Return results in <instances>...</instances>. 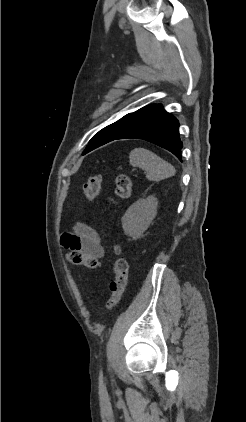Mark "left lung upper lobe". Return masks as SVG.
<instances>
[{"instance_id":"5c2ea615","label":"left lung upper lobe","mask_w":246,"mask_h":422,"mask_svg":"<svg viewBox=\"0 0 246 422\" xmlns=\"http://www.w3.org/2000/svg\"><path fill=\"white\" fill-rule=\"evenodd\" d=\"M155 104L145 106L136 112L129 113L116 121L115 123L103 128L100 130L93 138L89 141L86 149L83 154L90 152L91 150L116 139L128 128H130L135 122H137L141 117L148 113Z\"/></svg>"}]
</instances>
